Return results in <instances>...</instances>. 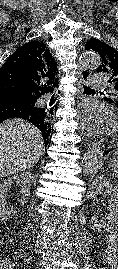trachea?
<instances>
[{"label":"trachea","mask_w":118,"mask_h":269,"mask_svg":"<svg viewBox=\"0 0 118 269\" xmlns=\"http://www.w3.org/2000/svg\"><path fill=\"white\" fill-rule=\"evenodd\" d=\"M83 90H84V93L95 92L93 89H91L90 87H87V86H83Z\"/></svg>","instance_id":"obj_1"}]
</instances>
